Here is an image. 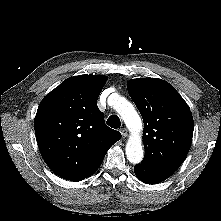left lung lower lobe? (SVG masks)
<instances>
[{
  "mask_svg": "<svg viewBox=\"0 0 221 221\" xmlns=\"http://www.w3.org/2000/svg\"><path fill=\"white\" fill-rule=\"evenodd\" d=\"M134 172L142 182L147 184H157L173 174L169 171L153 167L144 162L135 165Z\"/></svg>",
  "mask_w": 221,
  "mask_h": 221,
  "instance_id": "obj_1",
  "label": "left lung lower lobe"
}]
</instances>
